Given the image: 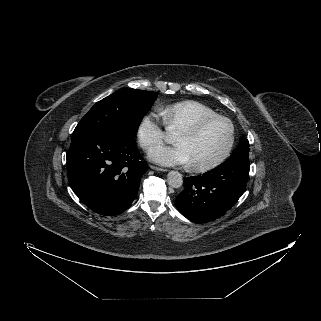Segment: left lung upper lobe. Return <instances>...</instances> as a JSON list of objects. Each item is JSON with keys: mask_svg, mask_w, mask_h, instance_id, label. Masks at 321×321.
<instances>
[{"mask_svg": "<svg viewBox=\"0 0 321 321\" xmlns=\"http://www.w3.org/2000/svg\"><path fill=\"white\" fill-rule=\"evenodd\" d=\"M232 155H240V156H249V142L247 139L242 138L238 147L233 151Z\"/></svg>", "mask_w": 321, "mask_h": 321, "instance_id": "obj_1", "label": "left lung upper lobe"}]
</instances>
